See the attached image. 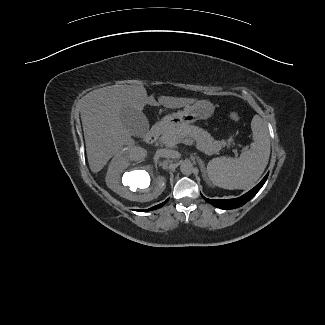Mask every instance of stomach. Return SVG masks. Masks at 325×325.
I'll list each match as a JSON object with an SVG mask.
<instances>
[{
    "label": "stomach",
    "instance_id": "1",
    "mask_svg": "<svg viewBox=\"0 0 325 325\" xmlns=\"http://www.w3.org/2000/svg\"><path fill=\"white\" fill-rule=\"evenodd\" d=\"M214 113V105L206 100L199 101L193 105L185 106L183 110L167 115L163 122L170 126L193 123L200 119H208Z\"/></svg>",
    "mask_w": 325,
    "mask_h": 325
}]
</instances>
